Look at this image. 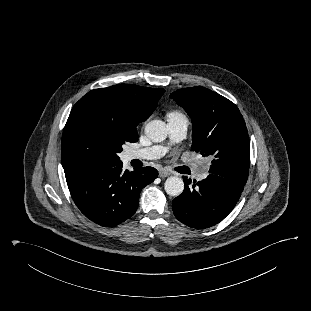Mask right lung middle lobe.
I'll list each match as a JSON object with an SVG mask.
<instances>
[{
  "label": "right lung middle lobe",
  "instance_id": "1",
  "mask_svg": "<svg viewBox=\"0 0 311 311\" xmlns=\"http://www.w3.org/2000/svg\"><path fill=\"white\" fill-rule=\"evenodd\" d=\"M118 124L100 100L78 101L66 122L61 157L63 167L93 166L121 162L127 142H136Z\"/></svg>",
  "mask_w": 311,
  "mask_h": 311
}]
</instances>
